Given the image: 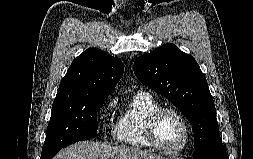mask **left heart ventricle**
<instances>
[{
	"instance_id": "b2bd125f",
	"label": "left heart ventricle",
	"mask_w": 253,
	"mask_h": 159,
	"mask_svg": "<svg viewBox=\"0 0 253 159\" xmlns=\"http://www.w3.org/2000/svg\"><path fill=\"white\" fill-rule=\"evenodd\" d=\"M156 135L163 148L176 149L184 139L183 124L174 113L165 112L158 119Z\"/></svg>"
}]
</instances>
